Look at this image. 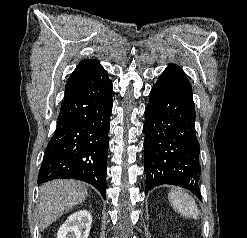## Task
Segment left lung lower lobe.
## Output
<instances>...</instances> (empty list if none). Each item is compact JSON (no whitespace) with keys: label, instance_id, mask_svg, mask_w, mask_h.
I'll list each match as a JSON object with an SVG mask.
<instances>
[{"label":"left lung lower lobe","instance_id":"1","mask_svg":"<svg viewBox=\"0 0 247 238\" xmlns=\"http://www.w3.org/2000/svg\"><path fill=\"white\" fill-rule=\"evenodd\" d=\"M195 116L190 82L180 67L171 64L152 88L145 109L146 191L171 184L201 198Z\"/></svg>","mask_w":247,"mask_h":238}]
</instances>
